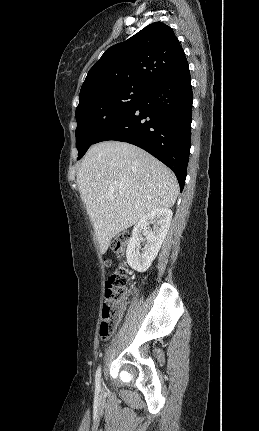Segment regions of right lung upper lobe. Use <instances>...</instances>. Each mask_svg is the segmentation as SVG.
Instances as JSON below:
<instances>
[{
	"label": "right lung upper lobe",
	"instance_id": "obj_1",
	"mask_svg": "<svg viewBox=\"0 0 259 431\" xmlns=\"http://www.w3.org/2000/svg\"><path fill=\"white\" fill-rule=\"evenodd\" d=\"M187 67L185 53L172 28L155 22L105 51L87 74L80 102L121 87L148 89Z\"/></svg>",
	"mask_w": 259,
	"mask_h": 431
}]
</instances>
